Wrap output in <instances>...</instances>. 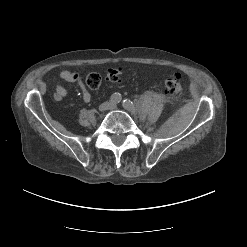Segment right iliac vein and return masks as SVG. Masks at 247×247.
Returning <instances> with one entry per match:
<instances>
[{
  "instance_id": "1",
  "label": "right iliac vein",
  "mask_w": 247,
  "mask_h": 247,
  "mask_svg": "<svg viewBox=\"0 0 247 247\" xmlns=\"http://www.w3.org/2000/svg\"><path fill=\"white\" fill-rule=\"evenodd\" d=\"M110 102H104V103H102L100 106H99V111L100 112H104V111H106V110H108L109 109V107H110Z\"/></svg>"
}]
</instances>
